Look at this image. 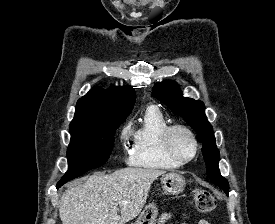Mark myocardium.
I'll return each instance as SVG.
<instances>
[{"mask_svg":"<svg viewBox=\"0 0 275 224\" xmlns=\"http://www.w3.org/2000/svg\"><path fill=\"white\" fill-rule=\"evenodd\" d=\"M177 132H182L191 139L194 146V150L191 155L182 156L174 149L173 137ZM162 145L166 154L181 165L191 162L199 152V142L196 137V134L189 127L182 124L169 125L164 130L162 135Z\"/></svg>","mask_w":275,"mask_h":224,"instance_id":"f54148a6","label":"myocardium"}]
</instances>
